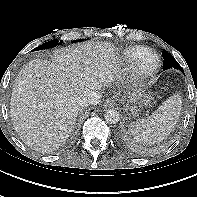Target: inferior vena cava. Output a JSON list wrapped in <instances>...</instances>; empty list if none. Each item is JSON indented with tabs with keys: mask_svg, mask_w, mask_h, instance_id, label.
Returning <instances> with one entry per match:
<instances>
[{
	"mask_svg": "<svg viewBox=\"0 0 197 197\" xmlns=\"http://www.w3.org/2000/svg\"><path fill=\"white\" fill-rule=\"evenodd\" d=\"M101 93L99 91H90L81 101L82 106L96 105L100 102Z\"/></svg>",
	"mask_w": 197,
	"mask_h": 197,
	"instance_id": "inferior-vena-cava-1",
	"label": "inferior vena cava"
}]
</instances>
